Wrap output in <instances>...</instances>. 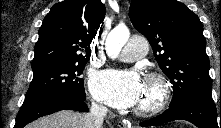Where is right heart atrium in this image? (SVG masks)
<instances>
[{
    "instance_id": "obj_1",
    "label": "right heart atrium",
    "mask_w": 221,
    "mask_h": 128,
    "mask_svg": "<svg viewBox=\"0 0 221 128\" xmlns=\"http://www.w3.org/2000/svg\"><path fill=\"white\" fill-rule=\"evenodd\" d=\"M94 106H96V107H99V104H97V103H94Z\"/></svg>"
}]
</instances>
